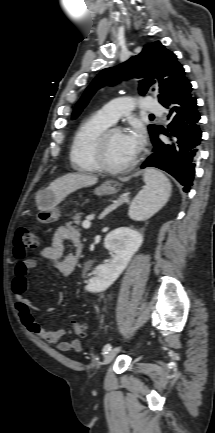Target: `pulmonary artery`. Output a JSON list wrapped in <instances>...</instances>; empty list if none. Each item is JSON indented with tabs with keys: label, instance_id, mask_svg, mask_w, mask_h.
Returning <instances> with one entry per match:
<instances>
[{
	"label": "pulmonary artery",
	"instance_id": "obj_1",
	"mask_svg": "<svg viewBox=\"0 0 215 433\" xmlns=\"http://www.w3.org/2000/svg\"><path fill=\"white\" fill-rule=\"evenodd\" d=\"M136 102L128 97H121L110 101L99 110V113L112 124L115 123L121 116L131 113ZM140 105L149 113L159 114L162 111V106L152 97H144Z\"/></svg>",
	"mask_w": 215,
	"mask_h": 433
}]
</instances>
